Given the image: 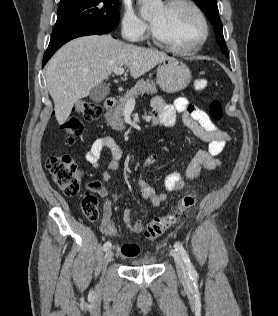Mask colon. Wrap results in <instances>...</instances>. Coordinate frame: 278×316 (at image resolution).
Returning <instances> with one entry per match:
<instances>
[{
	"instance_id": "1",
	"label": "colon",
	"mask_w": 278,
	"mask_h": 316,
	"mask_svg": "<svg viewBox=\"0 0 278 316\" xmlns=\"http://www.w3.org/2000/svg\"><path fill=\"white\" fill-rule=\"evenodd\" d=\"M206 79H197L194 82V89L202 91L207 87ZM75 113L87 121L96 120L101 110L87 102L81 101L75 107ZM210 116L214 120H220L223 115L222 105L219 100L215 99L209 106ZM79 116H71L62 128L66 132V143L71 145L76 137L83 132V123ZM46 168L57 187L67 196L75 197L81 191L80 171L69 155L51 156L46 161ZM97 187V184H90V188ZM196 204L195 193L185 194L178 203L177 211L173 214L155 217L145 229V236L149 240L160 237L167 229L173 226L181 217L185 216ZM82 210L85 216L92 222L99 220L100 211L98 200L92 193H86L82 198ZM125 256H135L139 253V247L133 243L124 244L121 248Z\"/></svg>"
}]
</instances>
